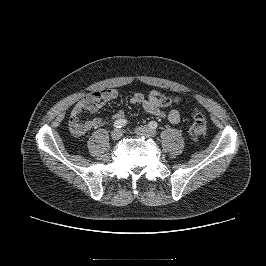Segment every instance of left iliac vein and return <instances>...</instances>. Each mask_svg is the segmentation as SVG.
<instances>
[{
  "instance_id": "4c4485c4",
  "label": "left iliac vein",
  "mask_w": 266,
  "mask_h": 266,
  "mask_svg": "<svg viewBox=\"0 0 266 266\" xmlns=\"http://www.w3.org/2000/svg\"><path fill=\"white\" fill-rule=\"evenodd\" d=\"M135 133L139 136H145V137H154L156 135V131L152 128H149L148 126H140L135 129Z\"/></svg>"
}]
</instances>
